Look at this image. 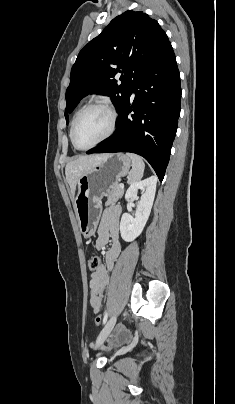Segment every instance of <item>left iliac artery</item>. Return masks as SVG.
I'll return each instance as SVG.
<instances>
[{"instance_id": "1", "label": "left iliac artery", "mask_w": 235, "mask_h": 404, "mask_svg": "<svg viewBox=\"0 0 235 404\" xmlns=\"http://www.w3.org/2000/svg\"><path fill=\"white\" fill-rule=\"evenodd\" d=\"M107 318H108V313H107V312H105V314H104V318H103V324H105V323H106Z\"/></svg>"}]
</instances>
